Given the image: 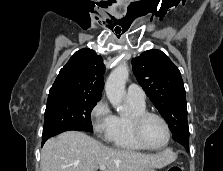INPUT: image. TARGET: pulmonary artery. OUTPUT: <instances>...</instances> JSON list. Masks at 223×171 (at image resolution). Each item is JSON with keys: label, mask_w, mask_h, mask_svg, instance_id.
<instances>
[{"label": "pulmonary artery", "mask_w": 223, "mask_h": 171, "mask_svg": "<svg viewBox=\"0 0 223 171\" xmlns=\"http://www.w3.org/2000/svg\"><path fill=\"white\" fill-rule=\"evenodd\" d=\"M126 97L128 100L137 103H145L146 100V95L144 90L137 84H130L128 86Z\"/></svg>", "instance_id": "obj_1"}]
</instances>
